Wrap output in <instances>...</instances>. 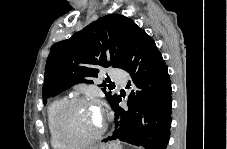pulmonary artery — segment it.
<instances>
[{
  "label": "pulmonary artery",
  "mask_w": 227,
  "mask_h": 149,
  "mask_svg": "<svg viewBox=\"0 0 227 149\" xmlns=\"http://www.w3.org/2000/svg\"><path fill=\"white\" fill-rule=\"evenodd\" d=\"M110 78L115 83H124L126 80V74L121 69L112 68L109 71Z\"/></svg>",
  "instance_id": "obj_1"
}]
</instances>
